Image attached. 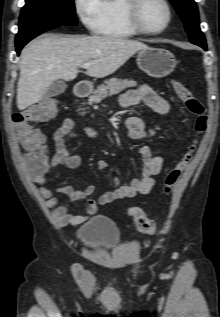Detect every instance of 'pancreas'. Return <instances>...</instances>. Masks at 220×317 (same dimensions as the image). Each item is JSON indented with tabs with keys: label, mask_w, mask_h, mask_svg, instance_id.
<instances>
[{
	"label": "pancreas",
	"mask_w": 220,
	"mask_h": 317,
	"mask_svg": "<svg viewBox=\"0 0 220 317\" xmlns=\"http://www.w3.org/2000/svg\"><path fill=\"white\" fill-rule=\"evenodd\" d=\"M136 84L137 83L133 80L111 78L97 87L93 92V95L89 97L88 104L92 105L94 103H99L106 97L118 94L128 87L136 86Z\"/></svg>",
	"instance_id": "1"
}]
</instances>
